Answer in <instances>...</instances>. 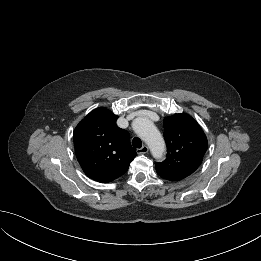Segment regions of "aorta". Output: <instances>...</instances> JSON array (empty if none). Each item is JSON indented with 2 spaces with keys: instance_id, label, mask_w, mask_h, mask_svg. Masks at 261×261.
Returning <instances> with one entry per match:
<instances>
[{
  "instance_id": "aorta-1",
  "label": "aorta",
  "mask_w": 261,
  "mask_h": 261,
  "mask_svg": "<svg viewBox=\"0 0 261 261\" xmlns=\"http://www.w3.org/2000/svg\"><path fill=\"white\" fill-rule=\"evenodd\" d=\"M133 129L149 146L153 157L162 158L165 153V142L154 123L148 118L138 117L133 121Z\"/></svg>"
}]
</instances>
